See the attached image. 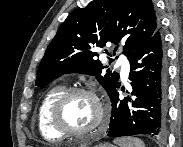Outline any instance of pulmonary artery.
I'll use <instances>...</instances> for the list:
<instances>
[{
	"label": "pulmonary artery",
	"mask_w": 183,
	"mask_h": 147,
	"mask_svg": "<svg viewBox=\"0 0 183 147\" xmlns=\"http://www.w3.org/2000/svg\"><path fill=\"white\" fill-rule=\"evenodd\" d=\"M118 65L121 67V71L124 77H126L129 73V62L127 59L122 58L120 61H118Z\"/></svg>",
	"instance_id": "obj_1"
}]
</instances>
